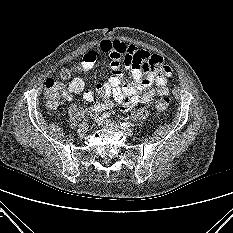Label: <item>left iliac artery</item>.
<instances>
[{
    "label": "left iliac artery",
    "instance_id": "left-iliac-artery-1",
    "mask_svg": "<svg viewBox=\"0 0 233 233\" xmlns=\"http://www.w3.org/2000/svg\"><path fill=\"white\" fill-rule=\"evenodd\" d=\"M103 118L104 119H106V120H108V121H110V113H108V112H105V113H103ZM118 125H120V126H123V127H133V126H135L133 123H131V122H120V123H118Z\"/></svg>",
    "mask_w": 233,
    "mask_h": 233
}]
</instances>
